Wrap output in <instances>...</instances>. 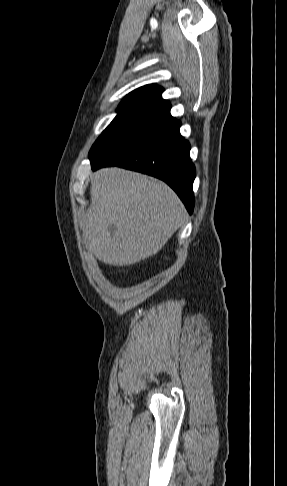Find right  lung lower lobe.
I'll use <instances>...</instances> for the list:
<instances>
[{
  "mask_svg": "<svg viewBox=\"0 0 287 486\" xmlns=\"http://www.w3.org/2000/svg\"><path fill=\"white\" fill-rule=\"evenodd\" d=\"M179 127L180 122L170 116L141 137L92 164V169L119 166L155 176L177 193L191 214L195 167L189 155L190 144L180 135Z\"/></svg>",
  "mask_w": 287,
  "mask_h": 486,
  "instance_id": "obj_1",
  "label": "right lung lower lobe"
}]
</instances>
